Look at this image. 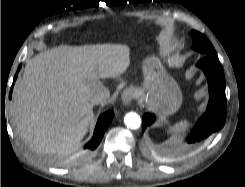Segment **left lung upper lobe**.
I'll use <instances>...</instances> for the list:
<instances>
[{"label": "left lung upper lobe", "instance_id": "left-lung-upper-lobe-1", "mask_svg": "<svg viewBox=\"0 0 245 187\" xmlns=\"http://www.w3.org/2000/svg\"><path fill=\"white\" fill-rule=\"evenodd\" d=\"M193 38V49L206 55L215 54V49L207 37L195 30L191 32Z\"/></svg>", "mask_w": 245, "mask_h": 187}]
</instances>
